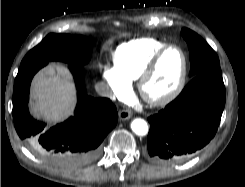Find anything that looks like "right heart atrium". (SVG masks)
<instances>
[{"label":"right heart atrium","mask_w":245,"mask_h":187,"mask_svg":"<svg viewBox=\"0 0 245 187\" xmlns=\"http://www.w3.org/2000/svg\"><path fill=\"white\" fill-rule=\"evenodd\" d=\"M100 67L111 95L118 99L127 98L131 92L130 84L122 79L115 65L104 62Z\"/></svg>","instance_id":"obj_1"}]
</instances>
